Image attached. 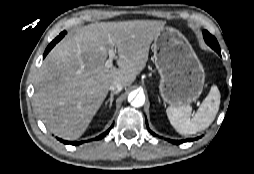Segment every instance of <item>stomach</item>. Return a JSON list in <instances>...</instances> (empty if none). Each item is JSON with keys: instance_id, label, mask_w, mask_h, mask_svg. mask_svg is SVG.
Wrapping results in <instances>:
<instances>
[{"instance_id": "stomach-1", "label": "stomach", "mask_w": 254, "mask_h": 174, "mask_svg": "<svg viewBox=\"0 0 254 174\" xmlns=\"http://www.w3.org/2000/svg\"><path fill=\"white\" fill-rule=\"evenodd\" d=\"M153 41L162 99L172 107L196 101L203 90L205 73L188 40L177 29L164 26Z\"/></svg>"}]
</instances>
